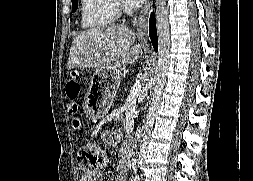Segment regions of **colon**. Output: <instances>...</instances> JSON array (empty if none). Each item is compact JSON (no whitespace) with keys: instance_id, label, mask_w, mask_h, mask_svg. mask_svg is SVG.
I'll return each instance as SVG.
<instances>
[{"instance_id":"5ec220e1","label":"colon","mask_w":253,"mask_h":181,"mask_svg":"<svg viewBox=\"0 0 253 181\" xmlns=\"http://www.w3.org/2000/svg\"><path fill=\"white\" fill-rule=\"evenodd\" d=\"M66 94L72 101L71 110L75 112V101L81 94L80 84L76 80H70L66 84ZM106 151L101 144L95 141H88L82 144L79 149V161L81 168L89 173L99 171L106 162Z\"/></svg>"}]
</instances>
